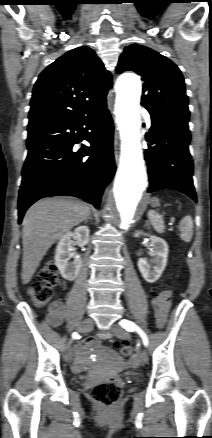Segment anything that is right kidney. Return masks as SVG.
Here are the masks:
<instances>
[{"label":"right kidney","instance_id":"ca27d5eb","mask_svg":"<svg viewBox=\"0 0 212 438\" xmlns=\"http://www.w3.org/2000/svg\"><path fill=\"white\" fill-rule=\"evenodd\" d=\"M89 233L90 230L87 226H79L74 232L64 234L58 242L55 253V264L62 277L68 281L76 279L82 265L80 256L72 251L71 237H73L78 244L84 246L89 242ZM71 258H74V261L71 262Z\"/></svg>","mask_w":212,"mask_h":438}]
</instances>
